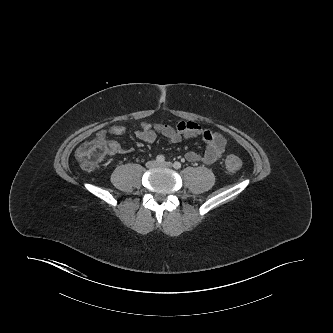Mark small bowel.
<instances>
[{"mask_svg":"<svg viewBox=\"0 0 333 333\" xmlns=\"http://www.w3.org/2000/svg\"><path fill=\"white\" fill-rule=\"evenodd\" d=\"M125 133L126 128L117 125L109 129L100 130L97 133V138L107 140L111 148V154H120L129 150L122 149L116 141L108 140L107 138L109 136H122ZM159 135L165 137L171 144L179 143L183 139L201 137L206 144V150L203 154L188 151L185 154V159L189 162L213 164L221 158L226 145V140L221 134L204 129L192 121H178L174 126L162 123H143L135 133L139 140L148 143L154 142Z\"/></svg>","mask_w":333,"mask_h":333,"instance_id":"small-bowel-1","label":"small bowel"}]
</instances>
